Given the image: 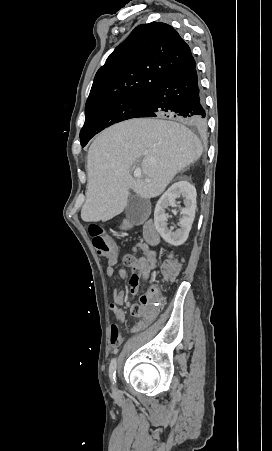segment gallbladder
<instances>
[{
  "instance_id": "gallbladder-1",
  "label": "gallbladder",
  "mask_w": 272,
  "mask_h": 451,
  "mask_svg": "<svg viewBox=\"0 0 272 451\" xmlns=\"http://www.w3.org/2000/svg\"><path fill=\"white\" fill-rule=\"evenodd\" d=\"M149 202L145 198H140L137 194L130 196L125 208V214L129 222L133 224H143L149 216Z\"/></svg>"
}]
</instances>
